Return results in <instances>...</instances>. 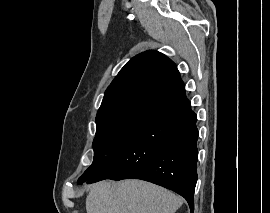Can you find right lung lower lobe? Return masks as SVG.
Returning <instances> with one entry per match:
<instances>
[{"label":"right lung lower lobe","instance_id":"98d812e1","mask_svg":"<svg viewBox=\"0 0 270 213\" xmlns=\"http://www.w3.org/2000/svg\"><path fill=\"white\" fill-rule=\"evenodd\" d=\"M196 121L183 89L157 104L87 183L129 178L149 181L183 196L193 213L198 158Z\"/></svg>","mask_w":270,"mask_h":213}]
</instances>
